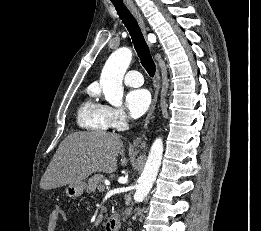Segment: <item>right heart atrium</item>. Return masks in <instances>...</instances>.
I'll return each mask as SVG.
<instances>
[{
  "label": "right heart atrium",
  "mask_w": 261,
  "mask_h": 231,
  "mask_svg": "<svg viewBox=\"0 0 261 231\" xmlns=\"http://www.w3.org/2000/svg\"><path fill=\"white\" fill-rule=\"evenodd\" d=\"M106 113L109 127L112 129L122 130L127 127L129 116L124 109L106 106Z\"/></svg>",
  "instance_id": "d8ad5b80"
}]
</instances>
